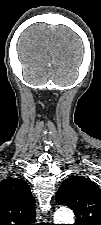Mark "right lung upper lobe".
<instances>
[{"label":"right lung upper lobe","mask_w":101,"mask_h":225,"mask_svg":"<svg viewBox=\"0 0 101 225\" xmlns=\"http://www.w3.org/2000/svg\"><path fill=\"white\" fill-rule=\"evenodd\" d=\"M35 199L19 178L0 182V225H35Z\"/></svg>","instance_id":"right-lung-upper-lobe-1"}]
</instances>
